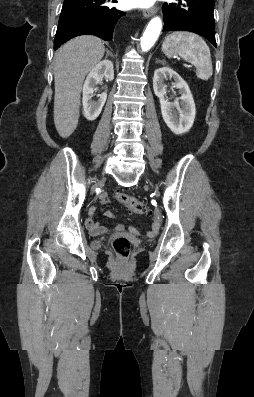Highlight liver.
<instances>
[{
	"label": "liver",
	"instance_id": "1",
	"mask_svg": "<svg viewBox=\"0 0 254 397\" xmlns=\"http://www.w3.org/2000/svg\"><path fill=\"white\" fill-rule=\"evenodd\" d=\"M104 52L99 38L84 35L68 41L55 54L54 124L62 138L69 137L77 127L83 81Z\"/></svg>",
	"mask_w": 254,
	"mask_h": 397
}]
</instances>
